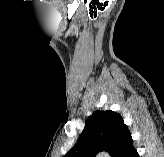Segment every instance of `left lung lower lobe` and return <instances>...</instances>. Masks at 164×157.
<instances>
[{"label":"left lung lower lobe","instance_id":"0a47b994","mask_svg":"<svg viewBox=\"0 0 164 157\" xmlns=\"http://www.w3.org/2000/svg\"><path fill=\"white\" fill-rule=\"evenodd\" d=\"M113 157H139L137 151L133 147L132 137L119 147Z\"/></svg>","mask_w":164,"mask_h":157}]
</instances>
